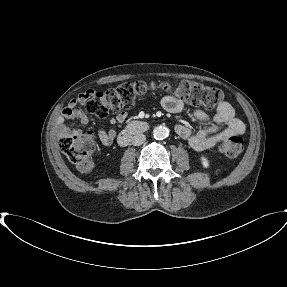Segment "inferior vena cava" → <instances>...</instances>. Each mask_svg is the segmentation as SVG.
I'll return each mask as SVG.
<instances>
[{
    "label": "inferior vena cava",
    "instance_id": "602c4592",
    "mask_svg": "<svg viewBox=\"0 0 287 287\" xmlns=\"http://www.w3.org/2000/svg\"><path fill=\"white\" fill-rule=\"evenodd\" d=\"M146 141V136L144 134H135L132 137V144L134 146H140Z\"/></svg>",
    "mask_w": 287,
    "mask_h": 287
}]
</instances>
